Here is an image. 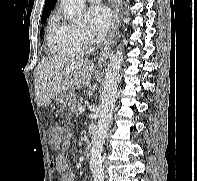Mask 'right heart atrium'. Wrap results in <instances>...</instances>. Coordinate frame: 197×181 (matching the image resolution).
Wrapping results in <instances>:
<instances>
[{"instance_id": "1", "label": "right heart atrium", "mask_w": 197, "mask_h": 181, "mask_svg": "<svg viewBox=\"0 0 197 181\" xmlns=\"http://www.w3.org/2000/svg\"><path fill=\"white\" fill-rule=\"evenodd\" d=\"M72 28H73L74 38L79 49L81 51L88 50L93 43L91 36L88 34L86 30L82 28L76 26H72Z\"/></svg>"}]
</instances>
